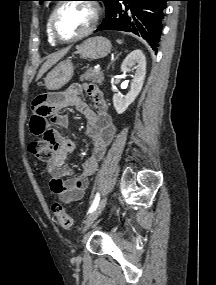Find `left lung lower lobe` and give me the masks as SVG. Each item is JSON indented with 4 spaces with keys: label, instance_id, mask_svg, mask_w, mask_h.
Masks as SVG:
<instances>
[{
    "label": "left lung lower lobe",
    "instance_id": "left-lung-lower-lobe-1",
    "mask_svg": "<svg viewBox=\"0 0 216 285\" xmlns=\"http://www.w3.org/2000/svg\"><path fill=\"white\" fill-rule=\"evenodd\" d=\"M167 1L169 0H112L96 31L132 32L143 37L156 51Z\"/></svg>",
    "mask_w": 216,
    "mask_h": 285
}]
</instances>
